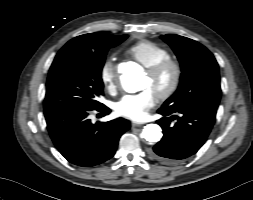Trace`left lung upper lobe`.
I'll use <instances>...</instances> for the list:
<instances>
[{
    "instance_id": "left-lung-upper-lobe-1",
    "label": "left lung upper lobe",
    "mask_w": 253,
    "mask_h": 200,
    "mask_svg": "<svg viewBox=\"0 0 253 200\" xmlns=\"http://www.w3.org/2000/svg\"><path fill=\"white\" fill-rule=\"evenodd\" d=\"M162 39L172 47L182 69L177 91L162 107L172 112L198 106L218 108L220 76L213 54L200 43L183 36L167 34Z\"/></svg>"
}]
</instances>
